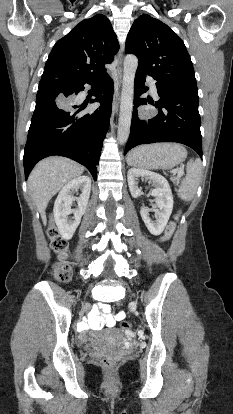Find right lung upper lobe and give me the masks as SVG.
<instances>
[{
    "instance_id": "cb5924a9",
    "label": "right lung upper lobe",
    "mask_w": 233,
    "mask_h": 414,
    "mask_svg": "<svg viewBox=\"0 0 233 414\" xmlns=\"http://www.w3.org/2000/svg\"><path fill=\"white\" fill-rule=\"evenodd\" d=\"M119 46L110 21L102 14L81 21L56 42L42 80L85 81L106 74Z\"/></svg>"
}]
</instances>
